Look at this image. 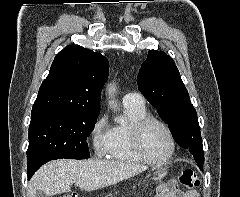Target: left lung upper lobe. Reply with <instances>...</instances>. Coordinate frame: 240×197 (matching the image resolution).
I'll return each mask as SVG.
<instances>
[{
    "label": "left lung upper lobe",
    "instance_id": "1",
    "mask_svg": "<svg viewBox=\"0 0 240 197\" xmlns=\"http://www.w3.org/2000/svg\"><path fill=\"white\" fill-rule=\"evenodd\" d=\"M138 88L173 132L176 142L190 151L198 166L204 163L197 112L173 59L150 50L137 77Z\"/></svg>",
    "mask_w": 240,
    "mask_h": 197
}]
</instances>
